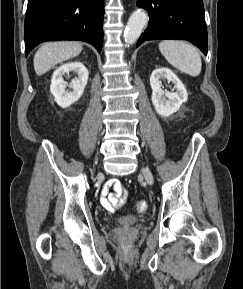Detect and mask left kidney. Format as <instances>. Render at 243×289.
<instances>
[{"label":"left kidney","instance_id":"5707ae66","mask_svg":"<svg viewBox=\"0 0 243 289\" xmlns=\"http://www.w3.org/2000/svg\"><path fill=\"white\" fill-rule=\"evenodd\" d=\"M161 79H167L175 86V92L164 91ZM150 85L152 88V103L157 114L168 117L179 110L183 102L187 101L188 94L183 83L168 68L155 69L150 76Z\"/></svg>","mask_w":243,"mask_h":289}]
</instances>
